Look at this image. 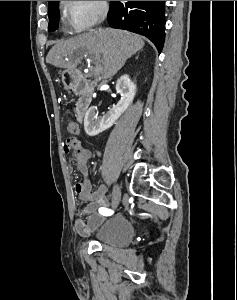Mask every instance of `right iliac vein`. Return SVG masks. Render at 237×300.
I'll return each instance as SVG.
<instances>
[{"mask_svg": "<svg viewBox=\"0 0 237 300\" xmlns=\"http://www.w3.org/2000/svg\"><path fill=\"white\" fill-rule=\"evenodd\" d=\"M120 198H121L120 186L115 185L113 189L111 204H110L112 208H116L119 205Z\"/></svg>", "mask_w": 237, "mask_h": 300, "instance_id": "1", "label": "right iliac vein"}]
</instances>
